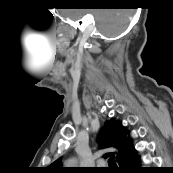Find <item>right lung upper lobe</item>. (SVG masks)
Wrapping results in <instances>:
<instances>
[{
  "instance_id": "obj_1",
  "label": "right lung upper lobe",
  "mask_w": 173,
  "mask_h": 173,
  "mask_svg": "<svg viewBox=\"0 0 173 173\" xmlns=\"http://www.w3.org/2000/svg\"><path fill=\"white\" fill-rule=\"evenodd\" d=\"M98 141L102 148L113 147L119 150V154L116 157L118 164L134 150L132 142L127 137L125 128L113 119L106 122L105 128L98 135ZM48 171L50 173L64 172L60 159L53 162L48 167Z\"/></svg>"
}]
</instances>
